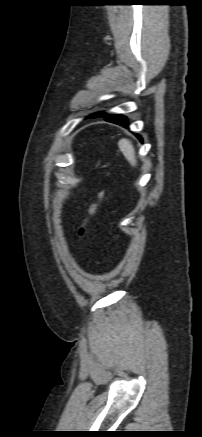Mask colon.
<instances>
[{
  "label": "colon",
  "instance_id": "1",
  "mask_svg": "<svg viewBox=\"0 0 202 437\" xmlns=\"http://www.w3.org/2000/svg\"><path fill=\"white\" fill-rule=\"evenodd\" d=\"M104 194H105L104 190L99 191L95 196V198L90 202L87 212L77 230V236L79 241H82L85 238L90 223V219L95 214L98 208V204L101 201V199L104 197Z\"/></svg>",
  "mask_w": 202,
  "mask_h": 437
}]
</instances>
